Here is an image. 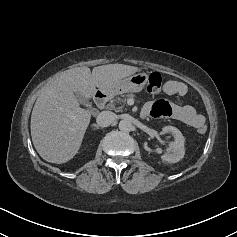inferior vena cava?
<instances>
[{"label": "inferior vena cava", "instance_id": "inferior-vena-cava-1", "mask_svg": "<svg viewBox=\"0 0 237 237\" xmlns=\"http://www.w3.org/2000/svg\"><path fill=\"white\" fill-rule=\"evenodd\" d=\"M116 119V115L110 111H103L99 113L96 118V122L101 127H107L111 125Z\"/></svg>", "mask_w": 237, "mask_h": 237}]
</instances>
